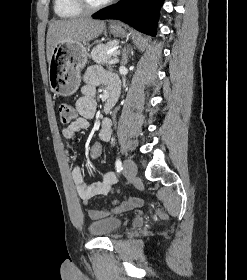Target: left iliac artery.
Returning <instances> with one entry per match:
<instances>
[{
    "mask_svg": "<svg viewBox=\"0 0 247 280\" xmlns=\"http://www.w3.org/2000/svg\"><path fill=\"white\" fill-rule=\"evenodd\" d=\"M115 166H116L117 172H121L122 171L123 167H122V163H121L119 158L116 160Z\"/></svg>",
    "mask_w": 247,
    "mask_h": 280,
    "instance_id": "44dca946",
    "label": "left iliac artery"
}]
</instances>
